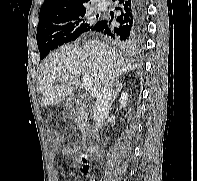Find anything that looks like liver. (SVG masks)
I'll list each match as a JSON object with an SVG mask.
<instances>
[{
    "mask_svg": "<svg viewBox=\"0 0 197 181\" xmlns=\"http://www.w3.org/2000/svg\"><path fill=\"white\" fill-rule=\"evenodd\" d=\"M134 68L130 61L98 40H89L82 46L65 45L41 64L37 90L45 106L56 105L78 88V76L83 74L93 77L91 92L96 97L107 77L114 81ZM61 76H67L70 82L54 85Z\"/></svg>",
    "mask_w": 197,
    "mask_h": 181,
    "instance_id": "6515ba94",
    "label": "liver"
}]
</instances>
